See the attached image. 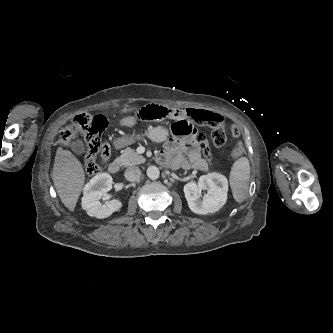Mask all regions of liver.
I'll return each mask as SVG.
<instances>
[{"mask_svg":"<svg viewBox=\"0 0 333 333\" xmlns=\"http://www.w3.org/2000/svg\"><path fill=\"white\" fill-rule=\"evenodd\" d=\"M134 109L124 108L122 112ZM52 179L62 203L73 211L84 186L85 173L81 162L69 150L57 149Z\"/></svg>","mask_w":333,"mask_h":333,"instance_id":"obj_1","label":"liver"}]
</instances>
